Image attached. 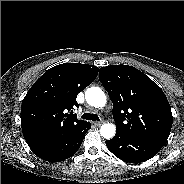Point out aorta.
Listing matches in <instances>:
<instances>
[{
    "label": "aorta",
    "instance_id": "aorta-1",
    "mask_svg": "<svg viewBox=\"0 0 184 184\" xmlns=\"http://www.w3.org/2000/svg\"><path fill=\"white\" fill-rule=\"evenodd\" d=\"M87 103L95 108H102L106 104V95L99 87H90L85 92ZM115 125L107 123L101 126L100 134L105 139H111L115 135Z\"/></svg>",
    "mask_w": 184,
    "mask_h": 184
}]
</instances>
